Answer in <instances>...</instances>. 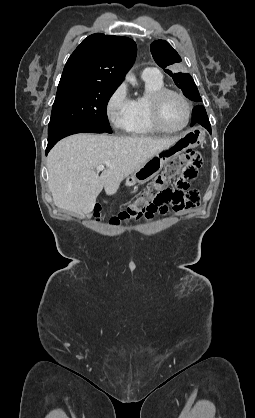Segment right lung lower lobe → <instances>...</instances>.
I'll list each match as a JSON object with an SVG mask.
<instances>
[{
	"label": "right lung lower lobe",
	"mask_w": 255,
	"mask_h": 418,
	"mask_svg": "<svg viewBox=\"0 0 255 418\" xmlns=\"http://www.w3.org/2000/svg\"><path fill=\"white\" fill-rule=\"evenodd\" d=\"M105 131L82 124H59L48 128V145L46 155L50 149L62 138L76 133H104Z\"/></svg>",
	"instance_id": "right-lung-lower-lobe-1"
}]
</instances>
